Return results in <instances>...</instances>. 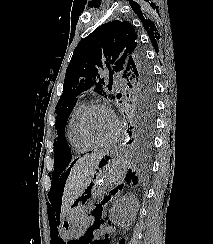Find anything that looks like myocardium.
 Wrapping results in <instances>:
<instances>
[{
	"mask_svg": "<svg viewBox=\"0 0 213 244\" xmlns=\"http://www.w3.org/2000/svg\"><path fill=\"white\" fill-rule=\"evenodd\" d=\"M93 110H103L105 112H108L115 122V126H116L115 133L107 141H103V142L94 141L87 135V133L85 131L86 119ZM120 132H121V123H120L119 119L117 118V116L108 106H106L104 104H100V103H92V104L87 105L86 108L84 109V111L82 112V114L80 115L79 120L77 122V133H78L80 139L85 144L89 145L92 148H103V147L111 146L112 144H114L117 141V139L120 135Z\"/></svg>",
	"mask_w": 213,
	"mask_h": 244,
	"instance_id": "f54148a6",
	"label": "myocardium"
}]
</instances>
